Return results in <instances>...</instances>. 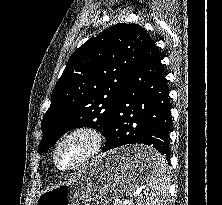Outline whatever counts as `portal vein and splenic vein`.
<instances>
[{
  "instance_id": "portal-vein-and-splenic-vein-1",
  "label": "portal vein and splenic vein",
  "mask_w": 222,
  "mask_h": 205,
  "mask_svg": "<svg viewBox=\"0 0 222 205\" xmlns=\"http://www.w3.org/2000/svg\"><path fill=\"white\" fill-rule=\"evenodd\" d=\"M142 191H143L142 188H138V189H136L130 196H131V197H138V196L141 195ZM124 201H125L126 203H129V200H128V199H125ZM130 204H131V203H130Z\"/></svg>"
}]
</instances>
